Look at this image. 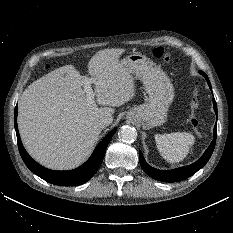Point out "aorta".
<instances>
[{
	"label": "aorta",
	"mask_w": 233,
	"mask_h": 233,
	"mask_svg": "<svg viewBox=\"0 0 233 233\" xmlns=\"http://www.w3.org/2000/svg\"><path fill=\"white\" fill-rule=\"evenodd\" d=\"M119 137L123 142L132 143L137 138L136 129L129 125L122 126L119 131Z\"/></svg>",
	"instance_id": "obj_1"
}]
</instances>
